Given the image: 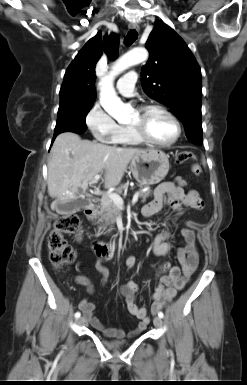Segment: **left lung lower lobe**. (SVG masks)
<instances>
[{
  "label": "left lung lower lobe",
  "instance_id": "obj_1",
  "mask_svg": "<svg viewBox=\"0 0 247 385\" xmlns=\"http://www.w3.org/2000/svg\"><path fill=\"white\" fill-rule=\"evenodd\" d=\"M191 142H194V143H199L201 144L202 143V140L203 138L202 137H199V136H194V137H190L188 138Z\"/></svg>",
  "mask_w": 247,
  "mask_h": 385
}]
</instances>
